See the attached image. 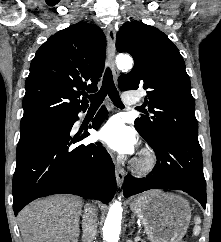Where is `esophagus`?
Returning <instances> with one entry per match:
<instances>
[{"instance_id":"1","label":"esophagus","mask_w":221,"mask_h":242,"mask_svg":"<svg viewBox=\"0 0 221 242\" xmlns=\"http://www.w3.org/2000/svg\"><path fill=\"white\" fill-rule=\"evenodd\" d=\"M115 39H116V32L113 25H108L107 27V40H108V64L112 69L113 76L115 80L119 75V71L115 65ZM115 176L117 185L119 187L122 186L125 177V170L120 164L115 165Z\"/></svg>"}]
</instances>
